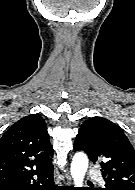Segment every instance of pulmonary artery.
I'll return each instance as SVG.
<instances>
[{
    "label": "pulmonary artery",
    "mask_w": 135,
    "mask_h": 190,
    "mask_svg": "<svg viewBox=\"0 0 135 190\" xmlns=\"http://www.w3.org/2000/svg\"><path fill=\"white\" fill-rule=\"evenodd\" d=\"M88 175L92 178L101 179L100 172L94 168L89 169Z\"/></svg>",
    "instance_id": "pulmonary-artery-1"
}]
</instances>
